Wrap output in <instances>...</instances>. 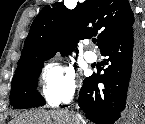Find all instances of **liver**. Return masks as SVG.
<instances>
[{
  "label": "liver",
  "instance_id": "liver-1",
  "mask_svg": "<svg viewBox=\"0 0 145 124\" xmlns=\"http://www.w3.org/2000/svg\"><path fill=\"white\" fill-rule=\"evenodd\" d=\"M11 124H76L75 116L65 111H29Z\"/></svg>",
  "mask_w": 145,
  "mask_h": 124
}]
</instances>
